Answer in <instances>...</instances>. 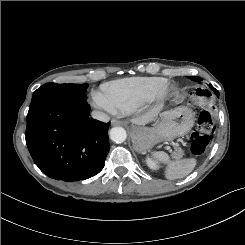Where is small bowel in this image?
I'll return each mask as SVG.
<instances>
[{
	"instance_id": "obj_1",
	"label": "small bowel",
	"mask_w": 245,
	"mask_h": 245,
	"mask_svg": "<svg viewBox=\"0 0 245 245\" xmlns=\"http://www.w3.org/2000/svg\"><path fill=\"white\" fill-rule=\"evenodd\" d=\"M190 106L194 110L212 111L215 109L217 101L212 91L197 89L191 91L188 96Z\"/></svg>"
}]
</instances>
